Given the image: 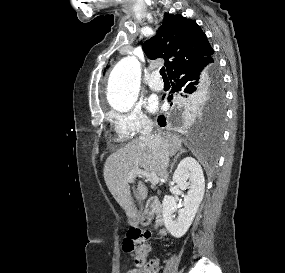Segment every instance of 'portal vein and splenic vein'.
I'll list each match as a JSON object with an SVG mask.
<instances>
[{
	"label": "portal vein and splenic vein",
	"instance_id": "18ae733b",
	"mask_svg": "<svg viewBox=\"0 0 285 273\" xmlns=\"http://www.w3.org/2000/svg\"><path fill=\"white\" fill-rule=\"evenodd\" d=\"M136 177H146L153 185L158 184L159 177L154 172H147L146 170H142L139 168L132 169L129 172L127 181L129 183L133 182Z\"/></svg>",
	"mask_w": 285,
	"mask_h": 273
}]
</instances>
